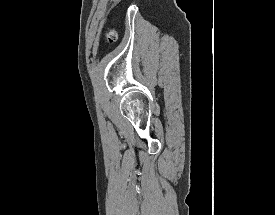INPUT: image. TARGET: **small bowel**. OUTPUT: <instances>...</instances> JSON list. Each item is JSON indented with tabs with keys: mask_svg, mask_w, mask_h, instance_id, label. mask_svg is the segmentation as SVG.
Wrapping results in <instances>:
<instances>
[{
	"mask_svg": "<svg viewBox=\"0 0 275 215\" xmlns=\"http://www.w3.org/2000/svg\"><path fill=\"white\" fill-rule=\"evenodd\" d=\"M119 3V1H116L113 3V6L117 5Z\"/></svg>",
	"mask_w": 275,
	"mask_h": 215,
	"instance_id": "c3829d8e",
	"label": "small bowel"
}]
</instances>
